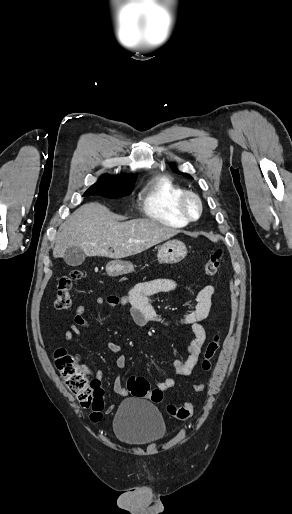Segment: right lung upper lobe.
Returning a JSON list of instances; mask_svg holds the SVG:
<instances>
[{"label":"right lung upper lobe","instance_id":"cb5924a9","mask_svg":"<svg viewBox=\"0 0 292 514\" xmlns=\"http://www.w3.org/2000/svg\"><path fill=\"white\" fill-rule=\"evenodd\" d=\"M137 178V174L136 175H118V176H112V175H104L102 177H100V179H105V180H118V181H133V180H136Z\"/></svg>","mask_w":292,"mask_h":514}]
</instances>
